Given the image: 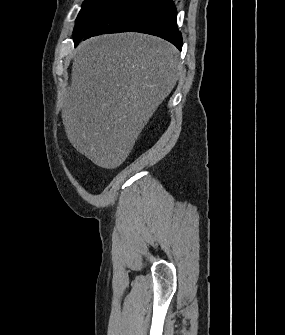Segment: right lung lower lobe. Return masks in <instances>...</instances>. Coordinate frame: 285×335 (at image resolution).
<instances>
[{
	"mask_svg": "<svg viewBox=\"0 0 285 335\" xmlns=\"http://www.w3.org/2000/svg\"><path fill=\"white\" fill-rule=\"evenodd\" d=\"M176 18L173 0H120L89 28L83 39L103 33L140 32L161 37L181 50Z\"/></svg>",
	"mask_w": 285,
	"mask_h": 335,
	"instance_id": "obj_1",
	"label": "right lung lower lobe"
}]
</instances>
